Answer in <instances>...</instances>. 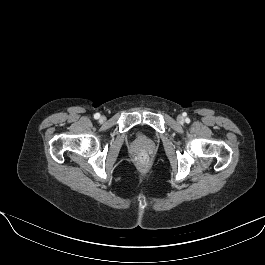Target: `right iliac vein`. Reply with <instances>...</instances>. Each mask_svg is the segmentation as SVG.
I'll return each instance as SVG.
<instances>
[{
	"label": "right iliac vein",
	"mask_w": 265,
	"mask_h": 265,
	"mask_svg": "<svg viewBox=\"0 0 265 265\" xmlns=\"http://www.w3.org/2000/svg\"><path fill=\"white\" fill-rule=\"evenodd\" d=\"M104 120V117H101V121H103Z\"/></svg>",
	"instance_id": "63e3f726"
}]
</instances>
